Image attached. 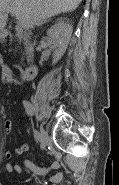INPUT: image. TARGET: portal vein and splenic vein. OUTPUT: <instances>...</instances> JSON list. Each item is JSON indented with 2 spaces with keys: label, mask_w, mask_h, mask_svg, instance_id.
Returning a JSON list of instances; mask_svg holds the SVG:
<instances>
[{
  "label": "portal vein and splenic vein",
  "mask_w": 119,
  "mask_h": 185,
  "mask_svg": "<svg viewBox=\"0 0 119 185\" xmlns=\"http://www.w3.org/2000/svg\"><path fill=\"white\" fill-rule=\"evenodd\" d=\"M16 30H17L18 33L22 32L23 26H22L21 24H18V25L16 26Z\"/></svg>",
  "instance_id": "1"
}]
</instances>
